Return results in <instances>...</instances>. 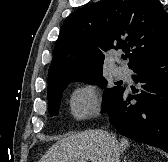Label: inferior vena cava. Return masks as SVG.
<instances>
[{"mask_svg": "<svg viewBox=\"0 0 168 162\" xmlns=\"http://www.w3.org/2000/svg\"><path fill=\"white\" fill-rule=\"evenodd\" d=\"M110 162H120V149L115 136L110 137Z\"/></svg>", "mask_w": 168, "mask_h": 162, "instance_id": "inferior-vena-cava-1", "label": "inferior vena cava"}]
</instances>
